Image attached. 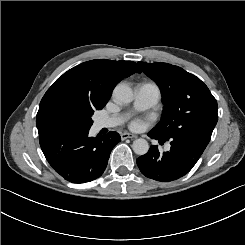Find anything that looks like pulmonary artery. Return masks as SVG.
I'll return each instance as SVG.
<instances>
[{
  "label": "pulmonary artery",
  "instance_id": "obj_1",
  "mask_svg": "<svg viewBox=\"0 0 245 245\" xmlns=\"http://www.w3.org/2000/svg\"><path fill=\"white\" fill-rule=\"evenodd\" d=\"M161 97V91L154 82H142L135 87L134 104L137 109L144 110L155 105ZM124 120V117L120 115H114L110 117H100L95 119L93 124V130L95 132L103 128H111L119 125ZM164 148H168L169 144L164 143Z\"/></svg>",
  "mask_w": 245,
  "mask_h": 245
}]
</instances>
